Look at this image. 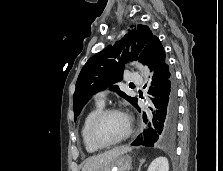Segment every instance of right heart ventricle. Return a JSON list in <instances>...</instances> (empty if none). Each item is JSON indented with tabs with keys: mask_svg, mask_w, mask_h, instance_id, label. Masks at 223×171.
I'll use <instances>...</instances> for the list:
<instances>
[{
	"mask_svg": "<svg viewBox=\"0 0 223 171\" xmlns=\"http://www.w3.org/2000/svg\"><path fill=\"white\" fill-rule=\"evenodd\" d=\"M102 109H103V104L97 102L88 111V113L85 115V117L83 119V122H82V126H81V138H82V142H83L84 148H85V150L88 153H96V152H98L100 150V148L94 146L92 144V142L90 141L89 136H88V128H89V125H90V122L92 121V119Z\"/></svg>",
	"mask_w": 223,
	"mask_h": 171,
	"instance_id": "1",
	"label": "right heart ventricle"
}]
</instances>
